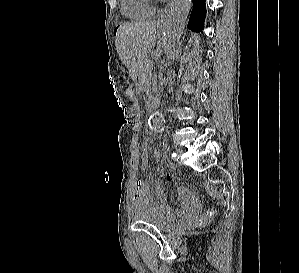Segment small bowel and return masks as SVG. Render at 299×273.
Here are the masks:
<instances>
[{
    "label": "small bowel",
    "mask_w": 299,
    "mask_h": 273,
    "mask_svg": "<svg viewBox=\"0 0 299 273\" xmlns=\"http://www.w3.org/2000/svg\"><path fill=\"white\" fill-rule=\"evenodd\" d=\"M140 161L142 168L147 167L149 161V149H142ZM164 177L168 181L172 180V176L169 174H165ZM177 193L181 200V207L178 208L175 213L180 218L185 220H193L196 218L200 207L190 190L185 186H179L177 188ZM155 197V199L152 197L149 185L146 181H138L134 195L135 210L137 211L143 208H153L161 217L173 220L175 214L171 207L166 203L167 197L165 188L159 181L155 182Z\"/></svg>",
    "instance_id": "c3829d8e"
}]
</instances>
